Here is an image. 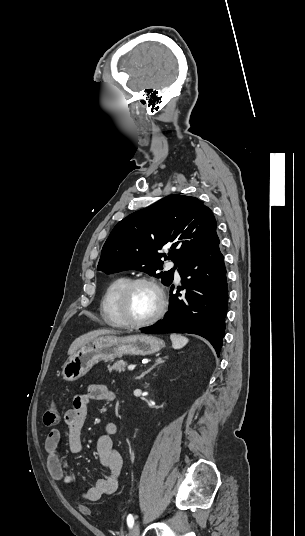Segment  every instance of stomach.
Wrapping results in <instances>:
<instances>
[{"label":"stomach","mask_w":305,"mask_h":536,"mask_svg":"<svg viewBox=\"0 0 305 536\" xmlns=\"http://www.w3.org/2000/svg\"><path fill=\"white\" fill-rule=\"evenodd\" d=\"M163 340L154 336H100L76 350L62 366L63 380L74 382L85 376L100 360H114L121 356H150L164 348Z\"/></svg>","instance_id":"stomach-1"}]
</instances>
